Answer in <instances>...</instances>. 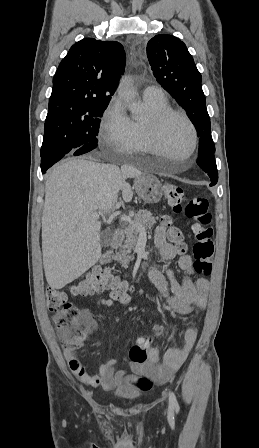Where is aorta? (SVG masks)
Wrapping results in <instances>:
<instances>
[{
  "label": "aorta",
  "mask_w": 259,
  "mask_h": 448,
  "mask_svg": "<svg viewBox=\"0 0 259 448\" xmlns=\"http://www.w3.org/2000/svg\"><path fill=\"white\" fill-rule=\"evenodd\" d=\"M118 95L124 100L128 105L132 113L137 114L139 112L140 106L136 102L137 93L130 84L129 79L122 78L118 86Z\"/></svg>",
  "instance_id": "1"
}]
</instances>
